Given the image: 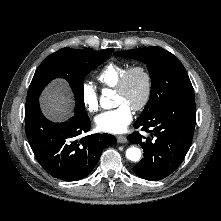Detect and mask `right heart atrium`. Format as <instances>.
<instances>
[{
  "instance_id": "d8ad5b80",
  "label": "right heart atrium",
  "mask_w": 221,
  "mask_h": 221,
  "mask_svg": "<svg viewBox=\"0 0 221 221\" xmlns=\"http://www.w3.org/2000/svg\"><path fill=\"white\" fill-rule=\"evenodd\" d=\"M81 99L85 109L94 113L99 109V96L96 87L89 81L81 85Z\"/></svg>"
}]
</instances>
